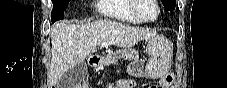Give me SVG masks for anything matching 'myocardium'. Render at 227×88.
<instances>
[{
  "mask_svg": "<svg viewBox=\"0 0 227 88\" xmlns=\"http://www.w3.org/2000/svg\"><path fill=\"white\" fill-rule=\"evenodd\" d=\"M150 1L156 7L157 14L152 19H145V18H142L140 16L139 11H138L141 0H132V3H131V12L138 19V21L141 22V23H154L160 17L161 9H160V6H159V2L157 0H150Z\"/></svg>",
  "mask_w": 227,
  "mask_h": 88,
  "instance_id": "f54148a6",
  "label": "myocardium"
}]
</instances>
